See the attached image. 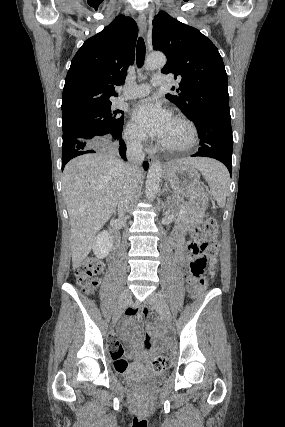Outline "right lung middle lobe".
Listing matches in <instances>:
<instances>
[{"mask_svg":"<svg viewBox=\"0 0 285 427\" xmlns=\"http://www.w3.org/2000/svg\"><path fill=\"white\" fill-rule=\"evenodd\" d=\"M123 111L115 110L111 103L62 117L63 149L74 147L83 139L90 145L117 142L122 133Z\"/></svg>","mask_w":285,"mask_h":427,"instance_id":"1","label":"right lung middle lobe"}]
</instances>
